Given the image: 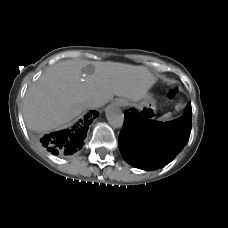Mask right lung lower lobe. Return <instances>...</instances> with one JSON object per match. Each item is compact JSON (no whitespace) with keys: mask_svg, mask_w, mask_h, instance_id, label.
I'll list each match as a JSON object with an SVG mask.
<instances>
[{"mask_svg":"<svg viewBox=\"0 0 228 228\" xmlns=\"http://www.w3.org/2000/svg\"><path fill=\"white\" fill-rule=\"evenodd\" d=\"M97 116V112L91 111L68 129L42 135L39 138L40 144L54 155L60 157L72 155L83 146L89 125Z\"/></svg>","mask_w":228,"mask_h":228,"instance_id":"right-lung-lower-lobe-1","label":"right lung lower lobe"}]
</instances>
